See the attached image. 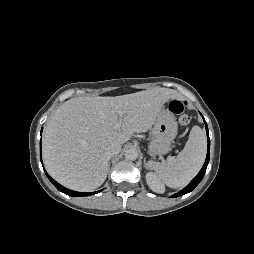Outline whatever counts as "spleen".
<instances>
[{
  "mask_svg": "<svg viewBox=\"0 0 254 254\" xmlns=\"http://www.w3.org/2000/svg\"><path fill=\"white\" fill-rule=\"evenodd\" d=\"M207 150L204 131L199 126H193L184 149L177 158L170 161L149 162L157 176L171 188L187 185L201 169Z\"/></svg>",
  "mask_w": 254,
  "mask_h": 254,
  "instance_id": "spleen-1",
  "label": "spleen"
}]
</instances>
